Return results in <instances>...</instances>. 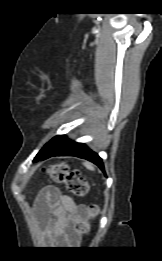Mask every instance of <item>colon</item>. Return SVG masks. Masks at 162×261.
<instances>
[{
    "mask_svg": "<svg viewBox=\"0 0 162 261\" xmlns=\"http://www.w3.org/2000/svg\"><path fill=\"white\" fill-rule=\"evenodd\" d=\"M51 179L58 184H63L67 192L77 197H84L89 192V185L83 175L77 170H69L65 163L57 164L49 170ZM96 206L86 209L84 217L77 223L76 230L80 234L89 232L87 218L96 215Z\"/></svg>",
    "mask_w": 162,
    "mask_h": 261,
    "instance_id": "5ec220e1",
    "label": "colon"
}]
</instances>
